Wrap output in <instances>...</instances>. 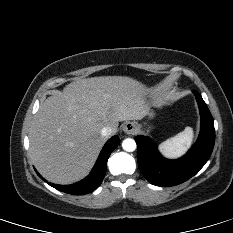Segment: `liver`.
I'll return each mask as SVG.
<instances>
[{
  "mask_svg": "<svg viewBox=\"0 0 233 233\" xmlns=\"http://www.w3.org/2000/svg\"><path fill=\"white\" fill-rule=\"evenodd\" d=\"M148 89L126 76H101L68 84L48 97L30 131V157L41 175L56 184L83 179L119 122L142 119L149 110Z\"/></svg>",
  "mask_w": 233,
  "mask_h": 233,
  "instance_id": "6515ba94",
  "label": "liver"
}]
</instances>
